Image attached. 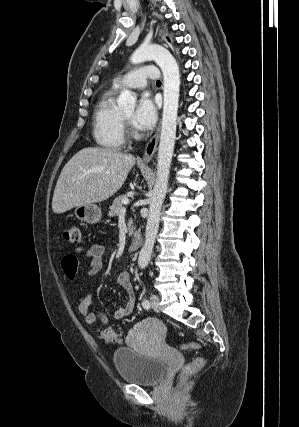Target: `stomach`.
Wrapping results in <instances>:
<instances>
[{
    "label": "stomach",
    "instance_id": "1",
    "mask_svg": "<svg viewBox=\"0 0 299 427\" xmlns=\"http://www.w3.org/2000/svg\"><path fill=\"white\" fill-rule=\"evenodd\" d=\"M74 214L77 219L89 224L99 222L102 217L101 208L94 203L77 206L74 210Z\"/></svg>",
    "mask_w": 299,
    "mask_h": 427
}]
</instances>
